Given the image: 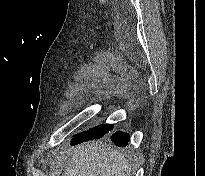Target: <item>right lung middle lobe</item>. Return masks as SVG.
Returning a JSON list of instances; mask_svg holds the SVG:
<instances>
[{"label": "right lung middle lobe", "instance_id": "right-lung-middle-lobe-1", "mask_svg": "<svg viewBox=\"0 0 205 176\" xmlns=\"http://www.w3.org/2000/svg\"><path fill=\"white\" fill-rule=\"evenodd\" d=\"M112 129H113V126L111 124H103V125H99L97 127L91 128L88 131H85L83 133H80L74 136V138L75 140L77 139L80 142L88 141L91 139H98V138L103 137L105 134H107Z\"/></svg>", "mask_w": 205, "mask_h": 176}]
</instances>
